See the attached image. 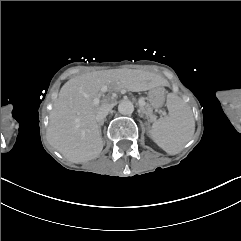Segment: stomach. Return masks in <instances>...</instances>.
I'll list each match as a JSON object with an SVG mask.
<instances>
[{
  "label": "stomach",
  "instance_id": "0dacf381",
  "mask_svg": "<svg viewBox=\"0 0 241 241\" xmlns=\"http://www.w3.org/2000/svg\"><path fill=\"white\" fill-rule=\"evenodd\" d=\"M149 105L153 108H160L165 102V91L163 88H156L148 94Z\"/></svg>",
  "mask_w": 241,
  "mask_h": 241
}]
</instances>
